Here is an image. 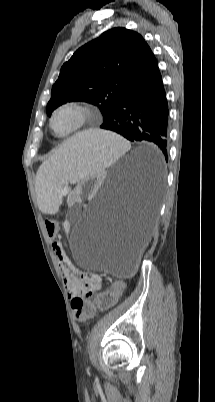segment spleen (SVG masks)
Returning <instances> with one entry per match:
<instances>
[{
  "instance_id": "obj_1",
  "label": "spleen",
  "mask_w": 215,
  "mask_h": 402,
  "mask_svg": "<svg viewBox=\"0 0 215 402\" xmlns=\"http://www.w3.org/2000/svg\"><path fill=\"white\" fill-rule=\"evenodd\" d=\"M129 148V142L118 135L92 133L90 129L67 140L39 170V210L48 213L61 210L63 204L57 189L62 184L94 175L97 169L105 170Z\"/></svg>"
}]
</instances>
